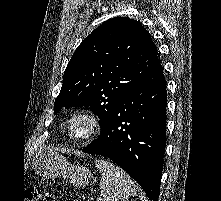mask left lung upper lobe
I'll return each instance as SVG.
<instances>
[{
    "label": "left lung upper lobe",
    "instance_id": "left-lung-upper-lobe-1",
    "mask_svg": "<svg viewBox=\"0 0 221 201\" xmlns=\"http://www.w3.org/2000/svg\"><path fill=\"white\" fill-rule=\"evenodd\" d=\"M149 32L136 20L116 17L85 38L68 63L54 113L89 106L101 129L117 104L160 66Z\"/></svg>",
    "mask_w": 221,
    "mask_h": 201
}]
</instances>
